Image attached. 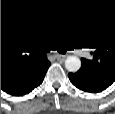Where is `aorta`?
Here are the masks:
<instances>
[{
	"mask_svg": "<svg viewBox=\"0 0 115 114\" xmlns=\"http://www.w3.org/2000/svg\"><path fill=\"white\" fill-rule=\"evenodd\" d=\"M65 67L70 72H77L81 67V61L77 56H68L65 61Z\"/></svg>",
	"mask_w": 115,
	"mask_h": 114,
	"instance_id": "762f6f07",
	"label": "aorta"
}]
</instances>
